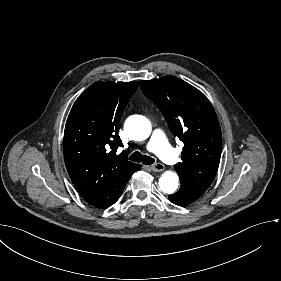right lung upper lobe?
<instances>
[{"mask_svg": "<svg viewBox=\"0 0 281 281\" xmlns=\"http://www.w3.org/2000/svg\"><path fill=\"white\" fill-rule=\"evenodd\" d=\"M137 88V82L94 84L70 111L64 131V160L71 180L84 197L138 166L115 153L123 146L117 129L119 120Z\"/></svg>", "mask_w": 281, "mask_h": 281, "instance_id": "1", "label": "right lung upper lobe"}]
</instances>
